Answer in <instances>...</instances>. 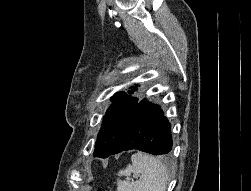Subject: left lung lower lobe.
<instances>
[{
	"mask_svg": "<svg viewBox=\"0 0 251 191\" xmlns=\"http://www.w3.org/2000/svg\"><path fill=\"white\" fill-rule=\"evenodd\" d=\"M137 149L153 155H165L172 149L170 123L159 105L138 102L116 137L109 155Z\"/></svg>",
	"mask_w": 251,
	"mask_h": 191,
	"instance_id": "left-lung-lower-lobe-1",
	"label": "left lung lower lobe"
}]
</instances>
